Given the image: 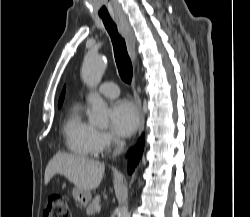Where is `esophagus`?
<instances>
[{
  "label": "esophagus",
  "instance_id": "esophagus-1",
  "mask_svg": "<svg viewBox=\"0 0 250 217\" xmlns=\"http://www.w3.org/2000/svg\"><path fill=\"white\" fill-rule=\"evenodd\" d=\"M116 23L119 27V30L121 32V34L123 35V37L126 40L127 43V47H128V51L129 54L132 58L133 61H135L136 58V50H135V36H134V32L133 29L131 27V25L129 24L128 20L126 18H119L116 19ZM133 89H134V102L138 111V116H139V127H138V133L139 135L142 133L143 129H144V124H145V117H144V113L142 110V102H141V98L138 94V92L135 89V76L133 78Z\"/></svg>",
  "mask_w": 250,
  "mask_h": 217
}]
</instances>
